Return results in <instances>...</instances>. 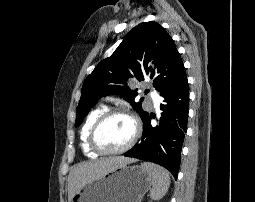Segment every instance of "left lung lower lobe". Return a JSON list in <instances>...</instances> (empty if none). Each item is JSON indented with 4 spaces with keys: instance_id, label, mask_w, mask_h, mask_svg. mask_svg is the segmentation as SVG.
I'll use <instances>...</instances> for the list:
<instances>
[{
    "instance_id": "left-lung-lower-lobe-1",
    "label": "left lung lower lobe",
    "mask_w": 255,
    "mask_h": 202,
    "mask_svg": "<svg viewBox=\"0 0 255 202\" xmlns=\"http://www.w3.org/2000/svg\"><path fill=\"white\" fill-rule=\"evenodd\" d=\"M160 95L164 100L160 106L163 112L158 120L159 125L152 127V116L147 114L142 120L144 130L141 141L124 156L157 163L177 179L188 120L189 89L186 73Z\"/></svg>"
}]
</instances>
